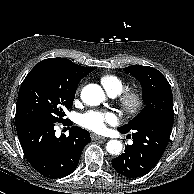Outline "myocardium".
<instances>
[{
    "instance_id": "obj_1",
    "label": "myocardium",
    "mask_w": 194,
    "mask_h": 194,
    "mask_svg": "<svg viewBox=\"0 0 194 194\" xmlns=\"http://www.w3.org/2000/svg\"><path fill=\"white\" fill-rule=\"evenodd\" d=\"M117 101L125 113L134 114L142 107L144 94L137 88L125 89L117 95Z\"/></svg>"
}]
</instances>
